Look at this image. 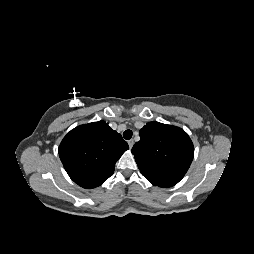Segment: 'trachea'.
I'll use <instances>...</instances> for the list:
<instances>
[{"label":"trachea","instance_id":"trachea-1","mask_svg":"<svg viewBox=\"0 0 254 254\" xmlns=\"http://www.w3.org/2000/svg\"><path fill=\"white\" fill-rule=\"evenodd\" d=\"M132 131L131 130H125L124 133H123V137L126 139V140H129L132 138Z\"/></svg>","mask_w":254,"mask_h":254}]
</instances>
